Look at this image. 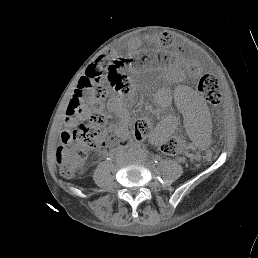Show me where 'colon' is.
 Instances as JSON below:
<instances>
[{
	"label": "colon",
	"mask_w": 258,
	"mask_h": 258,
	"mask_svg": "<svg viewBox=\"0 0 258 258\" xmlns=\"http://www.w3.org/2000/svg\"><path fill=\"white\" fill-rule=\"evenodd\" d=\"M159 44L168 47L172 40L168 36H161ZM105 79L116 90L127 92L130 80L126 73V66L121 61L99 59L92 63L80 81L75 97L69 104L68 115L75 118L79 108H84L88 115V122L77 128H70L65 133V139L56 153L57 163L63 177H73L83 167L89 151L117 147L121 144L124 135L121 131L102 136L101 126L104 123L103 115L98 111L100 102L106 97ZM200 94L210 103L220 101L218 79L210 74L201 77L198 83ZM152 124L145 118L138 119L134 124V133L141 137L147 136ZM166 155H182L186 151L184 140L180 136H171L161 146Z\"/></svg>",
	"instance_id": "colon-1"
}]
</instances>
